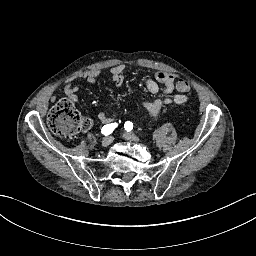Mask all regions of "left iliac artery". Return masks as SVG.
Listing matches in <instances>:
<instances>
[{"instance_id": "44dca946", "label": "left iliac artery", "mask_w": 256, "mask_h": 256, "mask_svg": "<svg viewBox=\"0 0 256 256\" xmlns=\"http://www.w3.org/2000/svg\"><path fill=\"white\" fill-rule=\"evenodd\" d=\"M124 128L127 130V132L131 131L133 129V123L129 121L125 122Z\"/></svg>"}]
</instances>
